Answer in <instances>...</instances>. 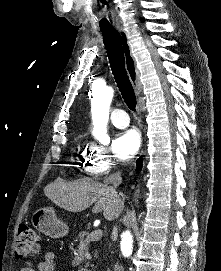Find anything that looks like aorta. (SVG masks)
<instances>
[{"instance_id":"762f6f07","label":"aorta","mask_w":221,"mask_h":271,"mask_svg":"<svg viewBox=\"0 0 221 271\" xmlns=\"http://www.w3.org/2000/svg\"><path fill=\"white\" fill-rule=\"evenodd\" d=\"M114 91L111 87H105L96 93L93 98V120L99 131L106 128L109 118L110 104ZM120 248L124 257H129L133 251V236L130 231H124L121 235Z\"/></svg>"}]
</instances>
